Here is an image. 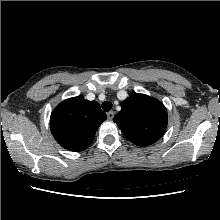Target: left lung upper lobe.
Listing matches in <instances>:
<instances>
[{
	"label": "left lung upper lobe",
	"instance_id": "left-lung-upper-lobe-1",
	"mask_svg": "<svg viewBox=\"0 0 220 220\" xmlns=\"http://www.w3.org/2000/svg\"><path fill=\"white\" fill-rule=\"evenodd\" d=\"M121 107L113 120L130 142L147 146L163 136L167 127V111L160 101L145 94L132 93Z\"/></svg>",
	"mask_w": 220,
	"mask_h": 220
}]
</instances>
